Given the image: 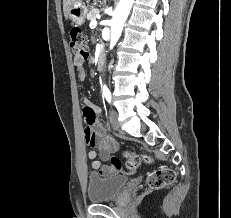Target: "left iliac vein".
<instances>
[{"label": "left iliac vein", "instance_id": "1", "mask_svg": "<svg viewBox=\"0 0 231 218\" xmlns=\"http://www.w3.org/2000/svg\"><path fill=\"white\" fill-rule=\"evenodd\" d=\"M109 119L115 130L119 129V122L117 120V116L113 110L109 111Z\"/></svg>", "mask_w": 231, "mask_h": 218}]
</instances>
